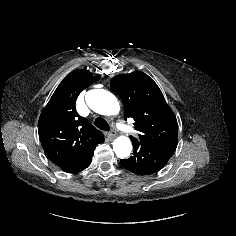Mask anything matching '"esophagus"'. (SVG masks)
Returning <instances> with one entry per match:
<instances>
[{"label": "esophagus", "instance_id": "34e87169", "mask_svg": "<svg viewBox=\"0 0 236 236\" xmlns=\"http://www.w3.org/2000/svg\"><path fill=\"white\" fill-rule=\"evenodd\" d=\"M115 136H116V132H115L114 130H111V131L109 132V134H108V137H109L110 139H114Z\"/></svg>", "mask_w": 236, "mask_h": 236}]
</instances>
